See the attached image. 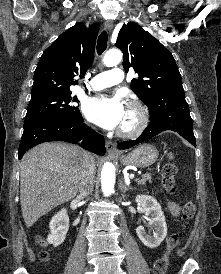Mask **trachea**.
Masks as SVG:
<instances>
[{
	"instance_id": "1",
	"label": "trachea",
	"mask_w": 221,
	"mask_h": 274,
	"mask_svg": "<svg viewBox=\"0 0 221 274\" xmlns=\"http://www.w3.org/2000/svg\"><path fill=\"white\" fill-rule=\"evenodd\" d=\"M108 35L103 31L97 40V53L101 55L107 48Z\"/></svg>"
}]
</instances>
